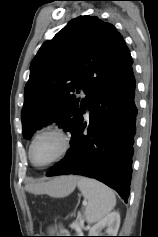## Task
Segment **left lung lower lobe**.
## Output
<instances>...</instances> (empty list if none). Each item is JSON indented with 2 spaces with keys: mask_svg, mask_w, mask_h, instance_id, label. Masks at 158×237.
Here are the masks:
<instances>
[{
  "mask_svg": "<svg viewBox=\"0 0 158 237\" xmlns=\"http://www.w3.org/2000/svg\"><path fill=\"white\" fill-rule=\"evenodd\" d=\"M89 109V123L82 118L71 134L65 158L47 176L77 174L95 178L127 202L137 123L132 66L105 85L90 101Z\"/></svg>",
  "mask_w": 158,
  "mask_h": 237,
  "instance_id": "1",
  "label": "left lung lower lobe"
}]
</instances>
